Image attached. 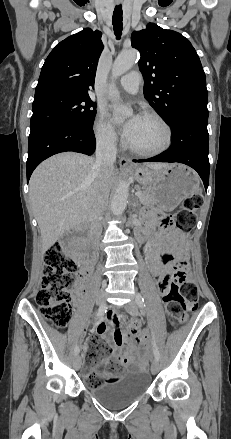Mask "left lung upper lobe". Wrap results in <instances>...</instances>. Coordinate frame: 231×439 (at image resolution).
<instances>
[{"mask_svg": "<svg viewBox=\"0 0 231 439\" xmlns=\"http://www.w3.org/2000/svg\"><path fill=\"white\" fill-rule=\"evenodd\" d=\"M132 47L141 53L144 96L169 125L187 109H207L206 77L192 44L180 33L149 23L134 31Z\"/></svg>", "mask_w": 231, "mask_h": 439, "instance_id": "1", "label": "left lung upper lobe"}]
</instances>
